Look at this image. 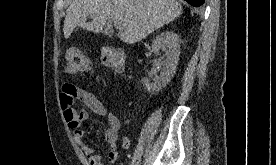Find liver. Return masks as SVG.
<instances>
[{"label": "liver", "instance_id": "liver-1", "mask_svg": "<svg viewBox=\"0 0 276 165\" xmlns=\"http://www.w3.org/2000/svg\"><path fill=\"white\" fill-rule=\"evenodd\" d=\"M181 14L176 0H74L67 9L63 32L66 39L77 26L99 33L107 20H118V38L135 44ZM88 15L93 18L89 23Z\"/></svg>", "mask_w": 276, "mask_h": 165}]
</instances>
